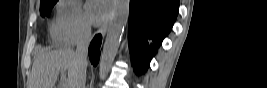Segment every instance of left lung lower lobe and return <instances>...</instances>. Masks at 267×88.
<instances>
[{"mask_svg":"<svg viewBox=\"0 0 267 88\" xmlns=\"http://www.w3.org/2000/svg\"><path fill=\"white\" fill-rule=\"evenodd\" d=\"M178 0H130L128 39L134 71L144 73L178 14Z\"/></svg>","mask_w":267,"mask_h":88,"instance_id":"0a47b994","label":"left lung lower lobe"}]
</instances>
